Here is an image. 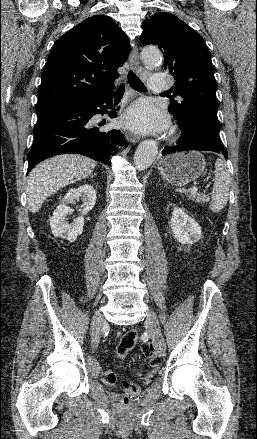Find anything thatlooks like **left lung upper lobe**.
I'll list each match as a JSON object with an SVG mask.
<instances>
[{"instance_id": "1", "label": "left lung upper lobe", "mask_w": 257, "mask_h": 439, "mask_svg": "<svg viewBox=\"0 0 257 439\" xmlns=\"http://www.w3.org/2000/svg\"><path fill=\"white\" fill-rule=\"evenodd\" d=\"M140 41L143 45L159 46L164 55V67L173 75L174 95L169 112L175 119L200 117L218 129V103L214 68L204 39L171 13H157L142 24Z\"/></svg>"}]
</instances>
